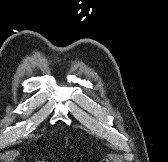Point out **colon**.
<instances>
[{
  "label": "colon",
  "mask_w": 168,
  "mask_h": 162,
  "mask_svg": "<svg viewBox=\"0 0 168 162\" xmlns=\"http://www.w3.org/2000/svg\"><path fill=\"white\" fill-rule=\"evenodd\" d=\"M99 162H111L109 158H103L102 160H100Z\"/></svg>",
  "instance_id": "5ec220e1"
}]
</instances>
